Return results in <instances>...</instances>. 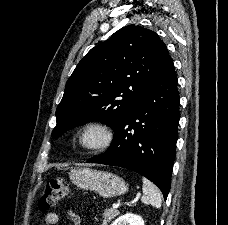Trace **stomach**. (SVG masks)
<instances>
[{"label": "stomach", "instance_id": "obj_1", "mask_svg": "<svg viewBox=\"0 0 228 225\" xmlns=\"http://www.w3.org/2000/svg\"><path fill=\"white\" fill-rule=\"evenodd\" d=\"M71 181L83 191H94L100 197L110 199V197H120L128 191V185L124 179L107 173V171H94V169H73Z\"/></svg>", "mask_w": 228, "mask_h": 225}]
</instances>
